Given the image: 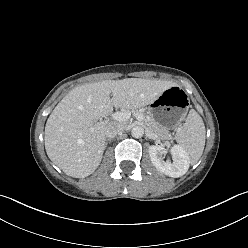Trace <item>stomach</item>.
I'll return each mask as SVG.
<instances>
[{
    "mask_svg": "<svg viewBox=\"0 0 248 248\" xmlns=\"http://www.w3.org/2000/svg\"><path fill=\"white\" fill-rule=\"evenodd\" d=\"M189 99L185 90L174 85L162 92L149 106V116L168 130L176 129L185 119Z\"/></svg>",
    "mask_w": 248,
    "mask_h": 248,
    "instance_id": "0dacf381",
    "label": "stomach"
}]
</instances>
